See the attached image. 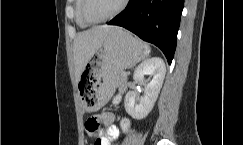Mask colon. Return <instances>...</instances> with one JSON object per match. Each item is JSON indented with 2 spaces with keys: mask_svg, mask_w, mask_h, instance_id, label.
Returning a JSON list of instances; mask_svg holds the SVG:
<instances>
[{
  "mask_svg": "<svg viewBox=\"0 0 243 145\" xmlns=\"http://www.w3.org/2000/svg\"><path fill=\"white\" fill-rule=\"evenodd\" d=\"M121 125L124 130H128L130 123L128 120L125 119L122 121ZM85 128L89 134L97 132L99 130V120L97 119V117L93 116L88 118L85 122Z\"/></svg>",
  "mask_w": 243,
  "mask_h": 145,
  "instance_id": "obj_1",
  "label": "colon"
}]
</instances>
